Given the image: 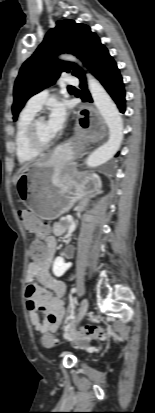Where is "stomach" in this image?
<instances>
[{"mask_svg":"<svg viewBox=\"0 0 155 413\" xmlns=\"http://www.w3.org/2000/svg\"><path fill=\"white\" fill-rule=\"evenodd\" d=\"M77 175L74 169H65L52 157L28 164L18 175V197L38 217L53 220L77 201L99 192V181L94 175L83 174L81 181L76 179Z\"/></svg>","mask_w":155,"mask_h":413,"instance_id":"0dacf381","label":"stomach"}]
</instances>
